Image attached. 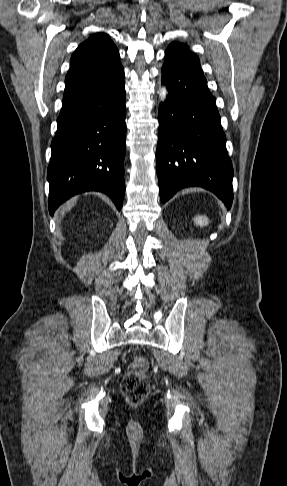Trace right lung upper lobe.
<instances>
[{"mask_svg": "<svg viewBox=\"0 0 287 486\" xmlns=\"http://www.w3.org/2000/svg\"><path fill=\"white\" fill-rule=\"evenodd\" d=\"M119 58V52L107 34L97 33L89 37L72 54L63 101L123 77L124 69Z\"/></svg>", "mask_w": 287, "mask_h": 486, "instance_id": "cb5924a9", "label": "right lung upper lobe"}]
</instances>
